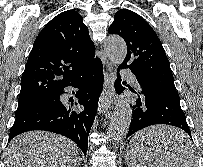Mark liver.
<instances>
[{
  "label": "liver",
  "instance_id": "liver-1",
  "mask_svg": "<svg viewBox=\"0 0 203 167\" xmlns=\"http://www.w3.org/2000/svg\"><path fill=\"white\" fill-rule=\"evenodd\" d=\"M187 138L179 129L154 126L137 133L130 144H155L159 160L176 165L191 152L190 147H178ZM78 161V149L71 140L45 131H31L8 144L4 163L5 167H75Z\"/></svg>",
  "mask_w": 203,
  "mask_h": 167
}]
</instances>
